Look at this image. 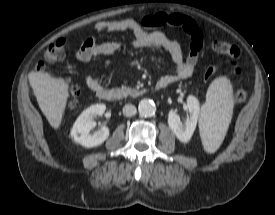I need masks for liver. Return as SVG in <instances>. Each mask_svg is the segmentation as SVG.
<instances>
[{"label": "liver", "instance_id": "obj_1", "mask_svg": "<svg viewBox=\"0 0 275 215\" xmlns=\"http://www.w3.org/2000/svg\"><path fill=\"white\" fill-rule=\"evenodd\" d=\"M28 79L41 111L49 124L58 129L69 98L68 83L63 78L44 72L32 71Z\"/></svg>", "mask_w": 275, "mask_h": 215}]
</instances>
